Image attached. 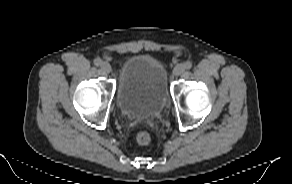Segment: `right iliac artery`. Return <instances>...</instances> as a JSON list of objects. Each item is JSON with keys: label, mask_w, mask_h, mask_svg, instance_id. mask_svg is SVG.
<instances>
[{"label": "right iliac artery", "mask_w": 292, "mask_h": 184, "mask_svg": "<svg viewBox=\"0 0 292 184\" xmlns=\"http://www.w3.org/2000/svg\"><path fill=\"white\" fill-rule=\"evenodd\" d=\"M94 64H95L96 66H100V65L102 64V60H101L100 58H96V59L94 60Z\"/></svg>", "instance_id": "1"}]
</instances>
